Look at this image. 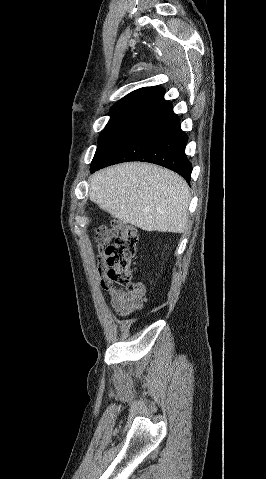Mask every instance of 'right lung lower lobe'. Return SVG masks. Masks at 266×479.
Returning <instances> with one entry per match:
<instances>
[{
	"mask_svg": "<svg viewBox=\"0 0 266 479\" xmlns=\"http://www.w3.org/2000/svg\"><path fill=\"white\" fill-rule=\"evenodd\" d=\"M187 141L172 105L162 97L137 113L111 139L90 171L121 162L145 161L171 169L190 183L192 165L185 154Z\"/></svg>",
	"mask_w": 266,
	"mask_h": 479,
	"instance_id": "right-lung-lower-lobe-1",
	"label": "right lung lower lobe"
}]
</instances>
